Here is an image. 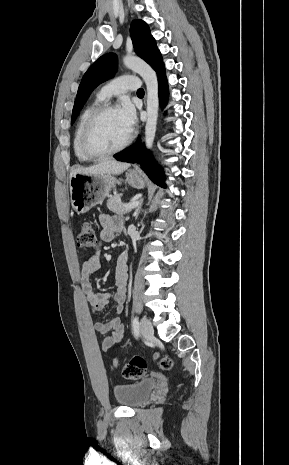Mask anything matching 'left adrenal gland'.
Returning <instances> with one entry per match:
<instances>
[{
	"label": "left adrenal gland",
	"mask_w": 289,
	"mask_h": 465,
	"mask_svg": "<svg viewBox=\"0 0 289 465\" xmlns=\"http://www.w3.org/2000/svg\"><path fill=\"white\" fill-rule=\"evenodd\" d=\"M142 203H143V199L140 200V204L139 206L136 208L135 212H134V217H135V220L138 218L139 216V213L141 212L142 210Z\"/></svg>",
	"instance_id": "a2214340"
}]
</instances>
